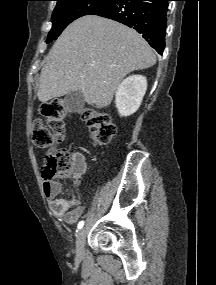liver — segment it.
Masks as SVG:
<instances>
[{"mask_svg": "<svg viewBox=\"0 0 216 285\" xmlns=\"http://www.w3.org/2000/svg\"><path fill=\"white\" fill-rule=\"evenodd\" d=\"M156 63V55L134 29L87 15L58 37L41 70L38 99L46 103L74 91L96 108L108 106L122 79Z\"/></svg>", "mask_w": 216, "mask_h": 285, "instance_id": "liver-1", "label": "liver"}]
</instances>
